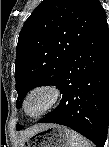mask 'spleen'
Returning <instances> with one entry per match:
<instances>
[{
  "label": "spleen",
  "mask_w": 109,
  "mask_h": 147,
  "mask_svg": "<svg viewBox=\"0 0 109 147\" xmlns=\"http://www.w3.org/2000/svg\"><path fill=\"white\" fill-rule=\"evenodd\" d=\"M69 147H91V145L82 135L71 130Z\"/></svg>",
  "instance_id": "1"
}]
</instances>
